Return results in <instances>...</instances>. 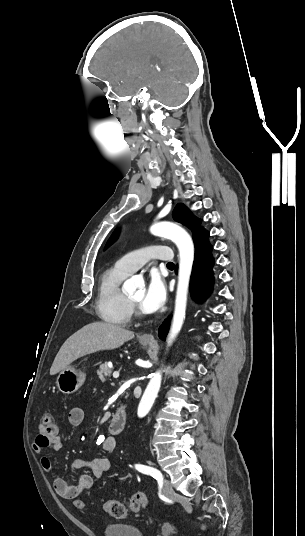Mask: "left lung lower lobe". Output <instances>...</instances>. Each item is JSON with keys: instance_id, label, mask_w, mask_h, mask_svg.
<instances>
[{"instance_id": "obj_1", "label": "left lung lower lobe", "mask_w": 305, "mask_h": 536, "mask_svg": "<svg viewBox=\"0 0 305 536\" xmlns=\"http://www.w3.org/2000/svg\"><path fill=\"white\" fill-rule=\"evenodd\" d=\"M209 232L205 231L199 237L194 240L195 243V259L193 263V270L191 276V294L192 297L198 301H204L210 294L214 276L212 267L214 265V259L212 258L211 251L212 246L208 241ZM177 272V267H176ZM169 320L166 319L159 328V337L164 340L167 333V324Z\"/></svg>"}]
</instances>
